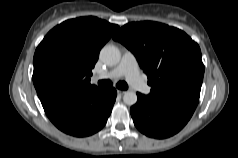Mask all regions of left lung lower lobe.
<instances>
[{
    "instance_id": "obj_1",
    "label": "left lung lower lobe",
    "mask_w": 238,
    "mask_h": 158,
    "mask_svg": "<svg viewBox=\"0 0 238 158\" xmlns=\"http://www.w3.org/2000/svg\"><path fill=\"white\" fill-rule=\"evenodd\" d=\"M130 109L137 129L153 138H167L179 132L193 115L200 90L189 89L166 95L137 93Z\"/></svg>"
}]
</instances>
